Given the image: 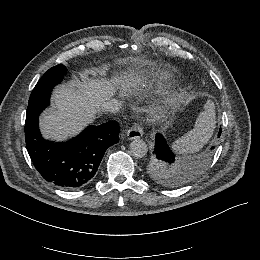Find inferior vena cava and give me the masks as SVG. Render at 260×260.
<instances>
[{"mask_svg": "<svg viewBox=\"0 0 260 260\" xmlns=\"http://www.w3.org/2000/svg\"><path fill=\"white\" fill-rule=\"evenodd\" d=\"M102 109L108 114H119L122 106L116 99H111L102 103Z\"/></svg>", "mask_w": 260, "mask_h": 260, "instance_id": "1", "label": "inferior vena cava"}]
</instances>
